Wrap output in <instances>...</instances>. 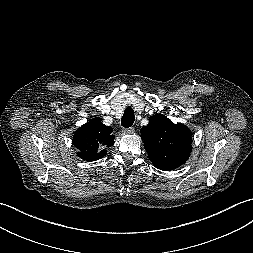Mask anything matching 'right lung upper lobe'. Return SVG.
I'll list each match as a JSON object with an SVG mask.
<instances>
[{"instance_id":"right-lung-upper-lobe-1","label":"right lung upper lobe","mask_w":253,"mask_h":253,"mask_svg":"<svg viewBox=\"0 0 253 253\" xmlns=\"http://www.w3.org/2000/svg\"><path fill=\"white\" fill-rule=\"evenodd\" d=\"M100 117L81 126L73 136V145L79 149L77 155L86 161H95L106 155V148L114 144L112 127L104 125Z\"/></svg>"}]
</instances>
